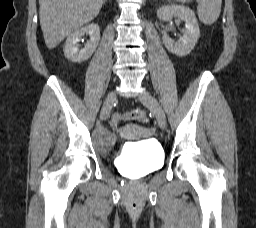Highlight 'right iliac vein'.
<instances>
[{
	"instance_id": "63e3f726",
	"label": "right iliac vein",
	"mask_w": 256,
	"mask_h": 228,
	"mask_svg": "<svg viewBox=\"0 0 256 228\" xmlns=\"http://www.w3.org/2000/svg\"><path fill=\"white\" fill-rule=\"evenodd\" d=\"M115 99H116V94L113 91L109 92L101 110V114H100L101 120L107 119Z\"/></svg>"
}]
</instances>
